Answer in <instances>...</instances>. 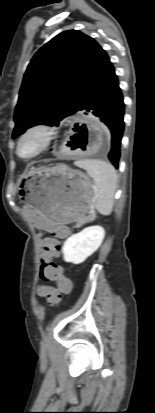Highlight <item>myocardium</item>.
Segmentation results:
<instances>
[{
  "label": "myocardium",
  "instance_id": "f54148a6",
  "mask_svg": "<svg viewBox=\"0 0 155 413\" xmlns=\"http://www.w3.org/2000/svg\"><path fill=\"white\" fill-rule=\"evenodd\" d=\"M33 134H40L42 141L39 146V148L30 156L24 157L20 154V145L22 142L29 136ZM55 135V130L54 128L44 122H37L34 124L29 125L19 136L17 143H16V148H15V153L18 158L24 161H29L32 160L39 155H41L43 152L47 150V148L50 146L53 138Z\"/></svg>",
  "mask_w": 155,
  "mask_h": 413
}]
</instances>
